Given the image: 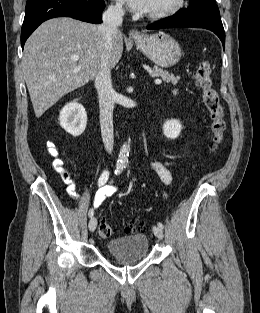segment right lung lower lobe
<instances>
[{"instance_id": "98d812e1", "label": "right lung lower lobe", "mask_w": 260, "mask_h": 313, "mask_svg": "<svg viewBox=\"0 0 260 313\" xmlns=\"http://www.w3.org/2000/svg\"><path fill=\"white\" fill-rule=\"evenodd\" d=\"M103 0H27L21 30L22 48L30 34L45 20L54 17H72L85 22L101 23Z\"/></svg>"}]
</instances>
